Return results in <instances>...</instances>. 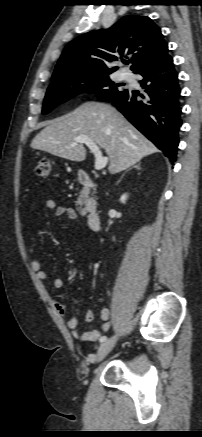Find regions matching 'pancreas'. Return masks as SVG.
<instances>
[{
  "mask_svg": "<svg viewBox=\"0 0 202 437\" xmlns=\"http://www.w3.org/2000/svg\"><path fill=\"white\" fill-rule=\"evenodd\" d=\"M87 201H88V197L82 191L78 197L77 202H76V206H78V209L80 210L81 214L87 213L86 208H83V205H86Z\"/></svg>",
  "mask_w": 202,
  "mask_h": 437,
  "instance_id": "1",
  "label": "pancreas"
}]
</instances>
